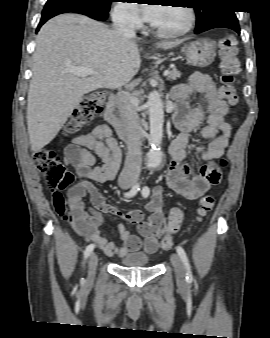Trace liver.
I'll return each instance as SVG.
<instances>
[{
  "label": "liver",
  "mask_w": 270,
  "mask_h": 338,
  "mask_svg": "<svg viewBox=\"0 0 270 338\" xmlns=\"http://www.w3.org/2000/svg\"><path fill=\"white\" fill-rule=\"evenodd\" d=\"M182 40L158 43L171 49ZM141 59L135 38L116 34L83 15L63 14L40 29L33 55L28 91L27 126L31 150L49 144L82 97L99 88H118L139 71ZM86 67L95 71L79 77L65 70Z\"/></svg>",
  "instance_id": "6515ba94"
}]
</instances>
